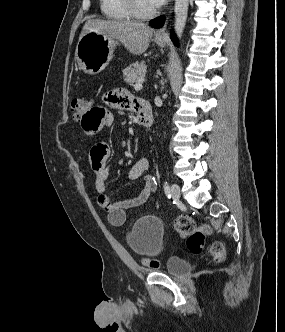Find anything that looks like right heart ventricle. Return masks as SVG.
Listing matches in <instances>:
<instances>
[{
  "label": "right heart ventricle",
  "instance_id": "right-heart-ventricle-1",
  "mask_svg": "<svg viewBox=\"0 0 285 332\" xmlns=\"http://www.w3.org/2000/svg\"><path fill=\"white\" fill-rule=\"evenodd\" d=\"M100 10L109 20L127 21L132 18L124 0H100Z\"/></svg>",
  "mask_w": 285,
  "mask_h": 332
}]
</instances>
